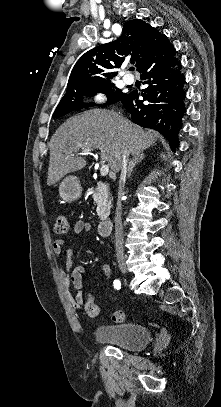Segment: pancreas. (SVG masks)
Masks as SVG:
<instances>
[{
    "instance_id": "pancreas-1",
    "label": "pancreas",
    "mask_w": 221,
    "mask_h": 407,
    "mask_svg": "<svg viewBox=\"0 0 221 407\" xmlns=\"http://www.w3.org/2000/svg\"><path fill=\"white\" fill-rule=\"evenodd\" d=\"M87 193L92 194L94 203L97 205L98 217L105 219L110 214L111 209V197L107 186L99 182L95 188L88 189Z\"/></svg>"
}]
</instances>
